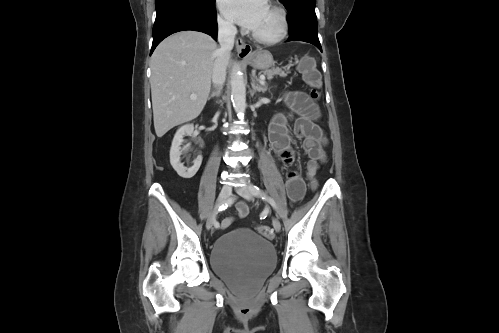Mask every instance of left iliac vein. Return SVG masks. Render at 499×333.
Here are the masks:
<instances>
[{
  "instance_id": "4c4485c4",
  "label": "left iliac vein",
  "mask_w": 499,
  "mask_h": 333,
  "mask_svg": "<svg viewBox=\"0 0 499 333\" xmlns=\"http://www.w3.org/2000/svg\"><path fill=\"white\" fill-rule=\"evenodd\" d=\"M236 192L242 196L244 199L246 200H252L253 199V195L250 191V188L247 187V186H242V187H239L236 189ZM272 224H273V227L275 229L276 232H280L281 230V223L279 221L278 218L274 217L272 219Z\"/></svg>"
}]
</instances>
